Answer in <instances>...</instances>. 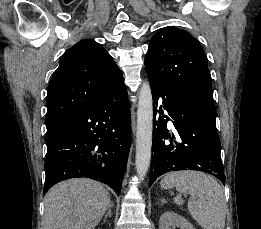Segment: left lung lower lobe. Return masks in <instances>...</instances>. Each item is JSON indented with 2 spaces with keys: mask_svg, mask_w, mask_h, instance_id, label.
I'll return each mask as SVG.
<instances>
[{
  "mask_svg": "<svg viewBox=\"0 0 261 229\" xmlns=\"http://www.w3.org/2000/svg\"><path fill=\"white\" fill-rule=\"evenodd\" d=\"M149 81L156 105L154 113H159L153 120L149 187L166 172L187 169L212 174L224 183L213 94L169 85L150 76ZM160 98L163 105L158 109ZM168 121L174 125L172 133L167 128Z\"/></svg>",
  "mask_w": 261,
  "mask_h": 229,
  "instance_id": "obj_1",
  "label": "left lung lower lobe"
}]
</instances>
